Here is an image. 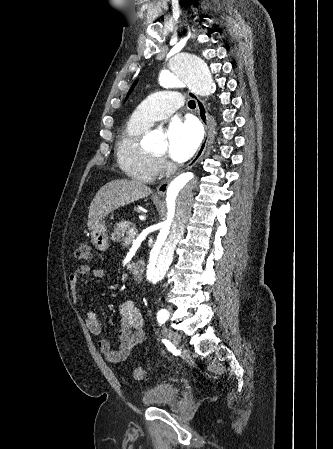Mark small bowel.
I'll return each instance as SVG.
<instances>
[{"label": "small bowel", "mask_w": 333, "mask_h": 449, "mask_svg": "<svg viewBox=\"0 0 333 449\" xmlns=\"http://www.w3.org/2000/svg\"><path fill=\"white\" fill-rule=\"evenodd\" d=\"M92 274L97 279L105 276V271L99 268H91L89 265H80L69 277V287L73 297H77L83 288L81 278ZM121 317L119 347L113 349L108 338L102 336V323L93 311L86 313V325L88 330L99 337L98 346L106 358L113 363L125 361L133 349L143 343L146 338L143 318L133 301L127 300L119 305Z\"/></svg>", "instance_id": "c3829d8e"}]
</instances>
